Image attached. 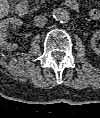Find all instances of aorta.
I'll list each match as a JSON object with an SVG mask.
<instances>
[{"label": "aorta", "instance_id": "obj_1", "mask_svg": "<svg viewBox=\"0 0 100 118\" xmlns=\"http://www.w3.org/2000/svg\"><path fill=\"white\" fill-rule=\"evenodd\" d=\"M53 18L60 23H67L70 19V15L66 10L57 8L53 11Z\"/></svg>", "mask_w": 100, "mask_h": 118}]
</instances>
